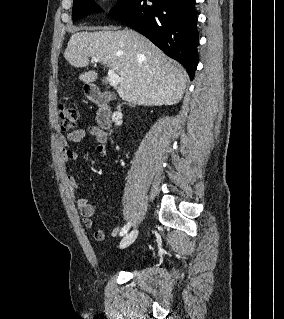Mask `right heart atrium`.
Returning a JSON list of instances; mask_svg holds the SVG:
<instances>
[{"mask_svg":"<svg viewBox=\"0 0 284 319\" xmlns=\"http://www.w3.org/2000/svg\"><path fill=\"white\" fill-rule=\"evenodd\" d=\"M103 1H105V2H112V1H114V0H103Z\"/></svg>","mask_w":284,"mask_h":319,"instance_id":"1","label":"right heart atrium"}]
</instances>
